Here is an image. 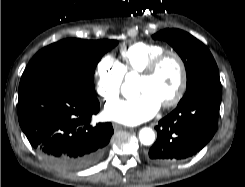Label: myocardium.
Here are the masks:
<instances>
[{
  "label": "myocardium",
  "mask_w": 245,
  "mask_h": 187,
  "mask_svg": "<svg viewBox=\"0 0 245 187\" xmlns=\"http://www.w3.org/2000/svg\"><path fill=\"white\" fill-rule=\"evenodd\" d=\"M168 58L174 59L178 64L180 70V82L177 90L171 98L161 104L164 108H170L177 105L185 95L188 85V72L184 59L177 52L166 50L153 57L139 72L140 77H151L154 75L158 67Z\"/></svg>",
  "instance_id": "obj_1"
}]
</instances>
